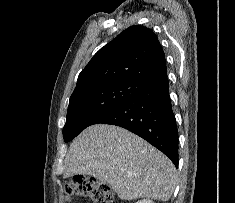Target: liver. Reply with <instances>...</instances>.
Wrapping results in <instances>:
<instances>
[{
  "label": "liver",
  "mask_w": 235,
  "mask_h": 203,
  "mask_svg": "<svg viewBox=\"0 0 235 203\" xmlns=\"http://www.w3.org/2000/svg\"><path fill=\"white\" fill-rule=\"evenodd\" d=\"M89 175L107 182L123 200L167 201L173 194L176 169L148 142L119 126L95 124L69 147L64 176Z\"/></svg>",
  "instance_id": "liver-1"
}]
</instances>
